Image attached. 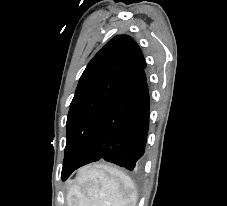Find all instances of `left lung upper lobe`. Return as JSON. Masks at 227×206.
<instances>
[{
  "label": "left lung upper lobe",
  "mask_w": 227,
  "mask_h": 206,
  "mask_svg": "<svg viewBox=\"0 0 227 206\" xmlns=\"http://www.w3.org/2000/svg\"><path fill=\"white\" fill-rule=\"evenodd\" d=\"M145 67L139 46L128 35L112 38L89 62L80 77L67 117L62 171L78 164L111 100Z\"/></svg>",
  "instance_id": "left-lung-upper-lobe-1"
}]
</instances>
